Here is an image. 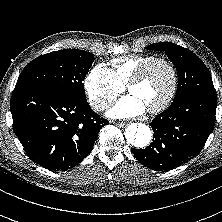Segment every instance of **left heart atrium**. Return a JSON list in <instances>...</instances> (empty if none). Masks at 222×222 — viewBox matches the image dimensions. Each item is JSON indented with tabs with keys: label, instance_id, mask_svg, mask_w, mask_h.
Returning a JSON list of instances; mask_svg holds the SVG:
<instances>
[{
	"label": "left heart atrium",
	"instance_id": "left-heart-atrium-1",
	"mask_svg": "<svg viewBox=\"0 0 222 222\" xmlns=\"http://www.w3.org/2000/svg\"><path fill=\"white\" fill-rule=\"evenodd\" d=\"M146 111L144 103L134 94L130 93L121 98L108 115L113 118H130L143 114Z\"/></svg>",
	"mask_w": 222,
	"mask_h": 222
}]
</instances>
